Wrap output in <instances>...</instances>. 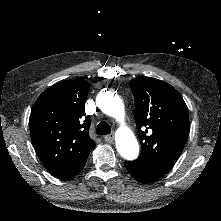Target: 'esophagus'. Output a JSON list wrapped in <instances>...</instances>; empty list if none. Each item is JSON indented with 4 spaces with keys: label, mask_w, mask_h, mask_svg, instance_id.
Returning <instances> with one entry per match:
<instances>
[{
    "label": "esophagus",
    "mask_w": 221,
    "mask_h": 221,
    "mask_svg": "<svg viewBox=\"0 0 221 221\" xmlns=\"http://www.w3.org/2000/svg\"><path fill=\"white\" fill-rule=\"evenodd\" d=\"M114 133H111L110 135H107L104 137V140L107 142V143H112L114 141Z\"/></svg>",
    "instance_id": "obj_1"
}]
</instances>
